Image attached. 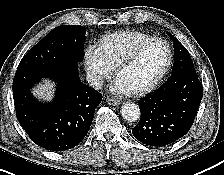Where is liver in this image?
Here are the masks:
<instances>
[{"label": "liver", "mask_w": 224, "mask_h": 175, "mask_svg": "<svg viewBox=\"0 0 224 175\" xmlns=\"http://www.w3.org/2000/svg\"><path fill=\"white\" fill-rule=\"evenodd\" d=\"M54 85L50 81H45L43 84H39L33 89V94L39 99L52 100L54 95Z\"/></svg>", "instance_id": "1"}]
</instances>
